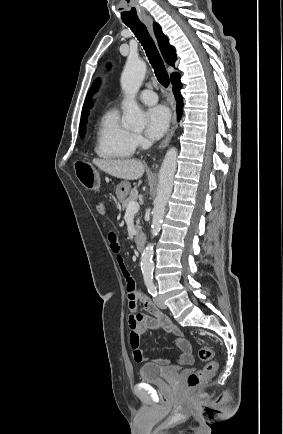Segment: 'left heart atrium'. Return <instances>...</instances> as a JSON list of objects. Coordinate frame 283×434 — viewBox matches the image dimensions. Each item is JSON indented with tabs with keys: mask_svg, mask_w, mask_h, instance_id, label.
<instances>
[{
	"mask_svg": "<svg viewBox=\"0 0 283 434\" xmlns=\"http://www.w3.org/2000/svg\"><path fill=\"white\" fill-rule=\"evenodd\" d=\"M170 111L163 105H156L149 108L146 112L147 136L152 140L161 138L167 131L170 123Z\"/></svg>",
	"mask_w": 283,
	"mask_h": 434,
	"instance_id": "left-heart-atrium-1",
	"label": "left heart atrium"
}]
</instances>
